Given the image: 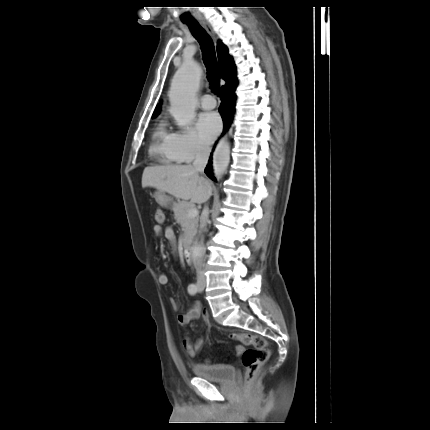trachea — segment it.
<instances>
[{
    "instance_id": "obj_1",
    "label": "trachea",
    "mask_w": 430,
    "mask_h": 430,
    "mask_svg": "<svg viewBox=\"0 0 430 430\" xmlns=\"http://www.w3.org/2000/svg\"><path fill=\"white\" fill-rule=\"evenodd\" d=\"M192 35L199 42L202 59L207 69V79L213 92L218 93L220 86V68L217 63L214 44L198 23H187Z\"/></svg>"
}]
</instances>
